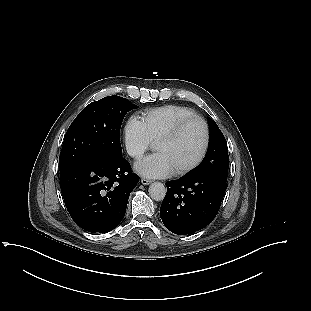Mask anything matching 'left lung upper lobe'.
I'll list each match as a JSON object with an SVG mask.
<instances>
[{"label":"left lung upper lobe","instance_id":"obj_1","mask_svg":"<svg viewBox=\"0 0 311 311\" xmlns=\"http://www.w3.org/2000/svg\"><path fill=\"white\" fill-rule=\"evenodd\" d=\"M209 125L208 152L201 165L189 176L211 175L227 181L229 168L227 142L214 120L209 119Z\"/></svg>","mask_w":311,"mask_h":311}]
</instances>
